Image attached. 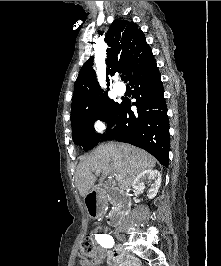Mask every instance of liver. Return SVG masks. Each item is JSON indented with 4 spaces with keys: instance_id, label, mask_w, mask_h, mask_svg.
I'll list each match as a JSON object with an SVG mask.
<instances>
[{
    "instance_id": "6515ba94",
    "label": "liver",
    "mask_w": 221,
    "mask_h": 266,
    "mask_svg": "<svg viewBox=\"0 0 221 266\" xmlns=\"http://www.w3.org/2000/svg\"><path fill=\"white\" fill-rule=\"evenodd\" d=\"M155 158L146 151L123 143H107L100 145L85 156L76 169V185L82 197L92 189L96 176L92 172L101 171L100 182L107 175H121L118 187L121 191L128 190L135 178L145 171L155 167ZM98 175V173H97Z\"/></svg>"
}]
</instances>
